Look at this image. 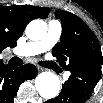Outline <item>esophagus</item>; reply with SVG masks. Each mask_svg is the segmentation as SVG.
<instances>
[{"label": "esophagus", "mask_w": 103, "mask_h": 103, "mask_svg": "<svg viewBox=\"0 0 103 103\" xmlns=\"http://www.w3.org/2000/svg\"><path fill=\"white\" fill-rule=\"evenodd\" d=\"M37 67V70L39 71V72H42L43 71V68L41 67V66H36Z\"/></svg>", "instance_id": "34e87169"}]
</instances>
